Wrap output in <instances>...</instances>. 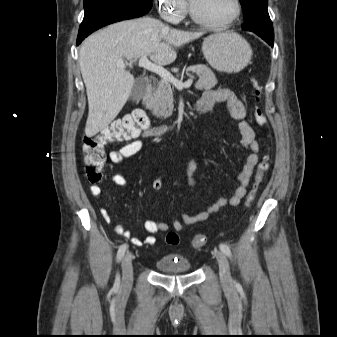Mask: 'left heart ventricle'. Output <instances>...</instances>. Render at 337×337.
<instances>
[{
  "label": "left heart ventricle",
  "mask_w": 337,
  "mask_h": 337,
  "mask_svg": "<svg viewBox=\"0 0 337 337\" xmlns=\"http://www.w3.org/2000/svg\"><path fill=\"white\" fill-rule=\"evenodd\" d=\"M195 12L202 18L220 22L233 12L232 0H190Z\"/></svg>",
  "instance_id": "b2bd125f"
}]
</instances>
